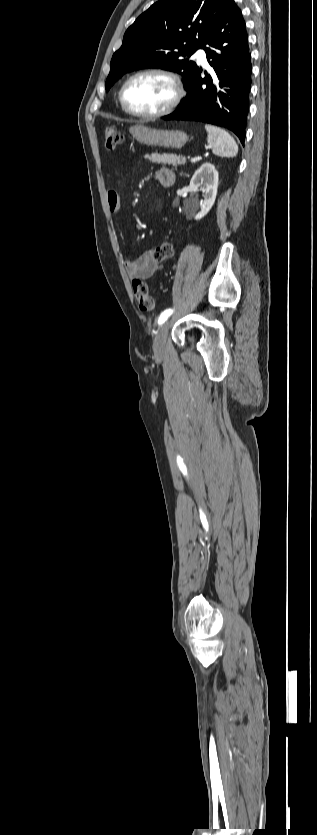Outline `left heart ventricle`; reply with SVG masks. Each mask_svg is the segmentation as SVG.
I'll return each mask as SVG.
<instances>
[{
    "instance_id": "obj_1",
    "label": "left heart ventricle",
    "mask_w": 317,
    "mask_h": 835,
    "mask_svg": "<svg viewBox=\"0 0 317 835\" xmlns=\"http://www.w3.org/2000/svg\"><path fill=\"white\" fill-rule=\"evenodd\" d=\"M124 96L131 109L153 113L163 109L170 102L174 96V88L165 77L143 75L127 85Z\"/></svg>"
}]
</instances>
